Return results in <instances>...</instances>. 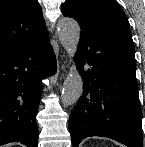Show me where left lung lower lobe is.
Here are the masks:
<instances>
[{
  "instance_id": "1",
  "label": "left lung lower lobe",
  "mask_w": 145,
  "mask_h": 147,
  "mask_svg": "<svg viewBox=\"0 0 145 147\" xmlns=\"http://www.w3.org/2000/svg\"><path fill=\"white\" fill-rule=\"evenodd\" d=\"M80 28L75 60L84 88L69 119L73 147L90 136L142 147V111L131 33L115 27Z\"/></svg>"
}]
</instances>
